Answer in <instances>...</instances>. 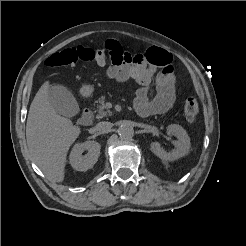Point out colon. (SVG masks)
Segmentation results:
<instances>
[{"instance_id": "obj_1", "label": "colon", "mask_w": 246, "mask_h": 246, "mask_svg": "<svg viewBox=\"0 0 246 246\" xmlns=\"http://www.w3.org/2000/svg\"><path fill=\"white\" fill-rule=\"evenodd\" d=\"M119 51L114 50V55H119ZM111 60V53L105 49H93L85 46H77L52 54L47 60L49 67L74 65L79 61L95 62L104 65ZM198 102L194 97H188L184 103V117L188 122H193L198 113Z\"/></svg>"}]
</instances>
